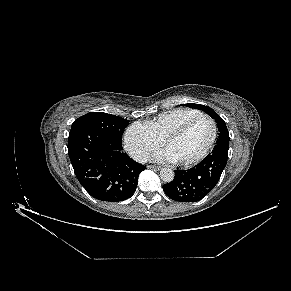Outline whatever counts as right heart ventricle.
<instances>
[{
    "instance_id": "e07e8e85",
    "label": "right heart ventricle",
    "mask_w": 291,
    "mask_h": 291,
    "mask_svg": "<svg viewBox=\"0 0 291 291\" xmlns=\"http://www.w3.org/2000/svg\"><path fill=\"white\" fill-rule=\"evenodd\" d=\"M202 113L195 109L178 108L166 111L155 119L147 122L145 126L159 139L163 140L171 131L185 121Z\"/></svg>"
}]
</instances>
